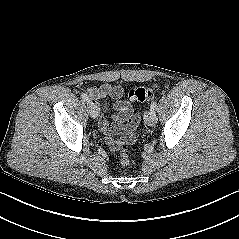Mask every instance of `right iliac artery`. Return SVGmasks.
I'll return each instance as SVG.
<instances>
[{
	"label": "right iliac artery",
	"instance_id": "right-iliac-artery-1",
	"mask_svg": "<svg viewBox=\"0 0 239 239\" xmlns=\"http://www.w3.org/2000/svg\"><path fill=\"white\" fill-rule=\"evenodd\" d=\"M81 98H82L85 102H89V98H88L87 94L82 93V94H81Z\"/></svg>",
	"mask_w": 239,
	"mask_h": 239
}]
</instances>
